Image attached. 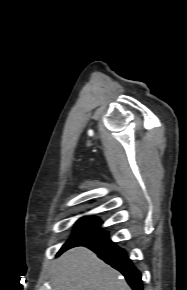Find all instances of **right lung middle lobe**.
<instances>
[{
	"label": "right lung middle lobe",
	"instance_id": "right-lung-middle-lobe-1",
	"mask_svg": "<svg viewBox=\"0 0 187 290\" xmlns=\"http://www.w3.org/2000/svg\"><path fill=\"white\" fill-rule=\"evenodd\" d=\"M101 224L102 223L93 216H85L79 219L75 224V230L72 237L63 245L59 253L75 245L106 237L108 233L102 232L99 229Z\"/></svg>",
	"mask_w": 187,
	"mask_h": 290
}]
</instances>
